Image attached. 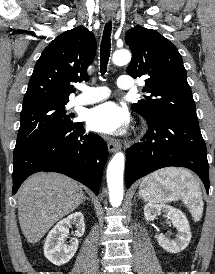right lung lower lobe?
<instances>
[{
	"label": "right lung lower lobe",
	"mask_w": 215,
	"mask_h": 274,
	"mask_svg": "<svg viewBox=\"0 0 215 274\" xmlns=\"http://www.w3.org/2000/svg\"><path fill=\"white\" fill-rule=\"evenodd\" d=\"M108 157L105 141L96 134L85 133L81 122L42 138L14 157L13 190L39 171L59 172L99 192L104 164Z\"/></svg>",
	"instance_id": "98d812e1"
}]
</instances>
